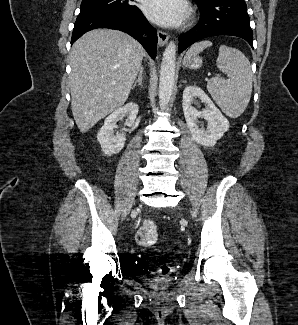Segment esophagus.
Wrapping results in <instances>:
<instances>
[{"label": "esophagus", "mask_w": 298, "mask_h": 325, "mask_svg": "<svg viewBox=\"0 0 298 325\" xmlns=\"http://www.w3.org/2000/svg\"><path fill=\"white\" fill-rule=\"evenodd\" d=\"M157 36H158V45H160L162 47L163 45H165L167 43L168 38H169L167 33L159 30L157 32Z\"/></svg>", "instance_id": "34e87169"}]
</instances>
